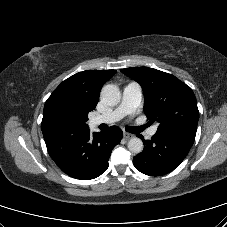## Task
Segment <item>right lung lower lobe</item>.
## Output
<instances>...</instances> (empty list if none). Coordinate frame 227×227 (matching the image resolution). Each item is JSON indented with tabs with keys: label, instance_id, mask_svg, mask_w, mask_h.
I'll use <instances>...</instances> for the list:
<instances>
[{
	"label": "right lung lower lobe",
	"instance_id": "obj_1",
	"mask_svg": "<svg viewBox=\"0 0 227 227\" xmlns=\"http://www.w3.org/2000/svg\"><path fill=\"white\" fill-rule=\"evenodd\" d=\"M123 132L112 126L103 132L90 133L89 128L63 133L45 139L50 157L70 177L89 180L100 176L109 166L112 149L120 143Z\"/></svg>",
	"mask_w": 227,
	"mask_h": 227
}]
</instances>
